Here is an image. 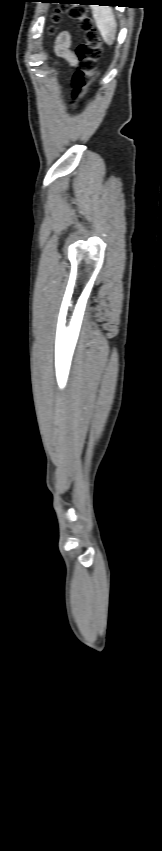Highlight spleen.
Returning a JSON list of instances; mask_svg holds the SVG:
<instances>
[{"mask_svg": "<svg viewBox=\"0 0 162 851\" xmlns=\"http://www.w3.org/2000/svg\"><path fill=\"white\" fill-rule=\"evenodd\" d=\"M92 14L101 36L112 45L117 31V22L110 7L92 6Z\"/></svg>", "mask_w": 162, "mask_h": 851, "instance_id": "spleen-1", "label": "spleen"}]
</instances>
